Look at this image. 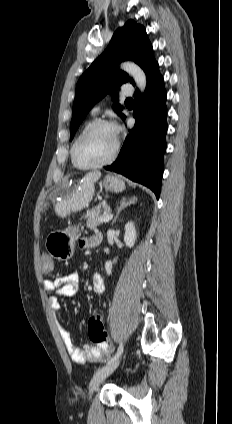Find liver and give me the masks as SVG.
Wrapping results in <instances>:
<instances>
[{"label":"liver","instance_id":"liver-1","mask_svg":"<svg viewBox=\"0 0 232 424\" xmlns=\"http://www.w3.org/2000/svg\"><path fill=\"white\" fill-rule=\"evenodd\" d=\"M101 177L100 171H91L87 173L81 184L71 189L68 184L62 188L66 191L58 194L56 197H60V200L54 202L55 212L58 216L64 218L71 214V212L80 211L89 206L95 194L96 181ZM47 203L45 204V207Z\"/></svg>","mask_w":232,"mask_h":424}]
</instances>
